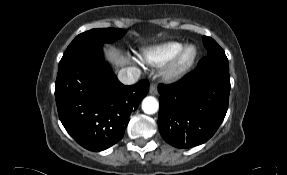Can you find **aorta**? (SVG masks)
<instances>
[{
    "label": "aorta",
    "instance_id": "762f6f07",
    "mask_svg": "<svg viewBox=\"0 0 287 175\" xmlns=\"http://www.w3.org/2000/svg\"><path fill=\"white\" fill-rule=\"evenodd\" d=\"M159 109V103L155 97L148 96L142 101V110L146 114H154Z\"/></svg>",
    "mask_w": 287,
    "mask_h": 175
}]
</instances>
